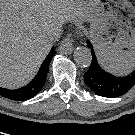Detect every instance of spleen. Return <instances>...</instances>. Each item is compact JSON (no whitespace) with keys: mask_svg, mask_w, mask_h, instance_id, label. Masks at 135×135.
I'll return each instance as SVG.
<instances>
[{"mask_svg":"<svg viewBox=\"0 0 135 135\" xmlns=\"http://www.w3.org/2000/svg\"><path fill=\"white\" fill-rule=\"evenodd\" d=\"M101 64L113 74L125 75L135 67V54L130 52L117 53L114 57L100 59Z\"/></svg>","mask_w":135,"mask_h":135,"instance_id":"obj_1","label":"spleen"}]
</instances>
